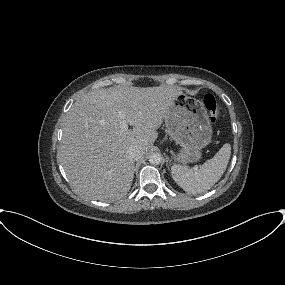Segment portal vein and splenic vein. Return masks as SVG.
I'll return each instance as SVG.
<instances>
[{
	"label": "portal vein and splenic vein",
	"mask_w": 285,
	"mask_h": 285,
	"mask_svg": "<svg viewBox=\"0 0 285 285\" xmlns=\"http://www.w3.org/2000/svg\"><path fill=\"white\" fill-rule=\"evenodd\" d=\"M117 116H118L119 119L122 120L121 129H122L123 131H126V130L128 129V124H127V122H126V120H125V114H124V112H123V111H119V112L117 113Z\"/></svg>",
	"instance_id": "portal-vein-and-splenic-vein-1"
}]
</instances>
